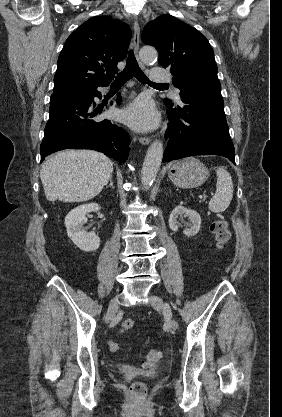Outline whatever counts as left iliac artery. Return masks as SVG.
Wrapping results in <instances>:
<instances>
[{
    "label": "left iliac artery",
    "instance_id": "44dca946",
    "mask_svg": "<svg viewBox=\"0 0 282 417\" xmlns=\"http://www.w3.org/2000/svg\"><path fill=\"white\" fill-rule=\"evenodd\" d=\"M164 309H165V311H166V313H167L168 315H172V313H171V309H170V307H169V305H168V304H165Z\"/></svg>",
    "mask_w": 282,
    "mask_h": 417
}]
</instances>
